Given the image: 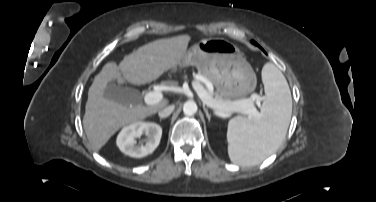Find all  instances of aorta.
Listing matches in <instances>:
<instances>
[{
	"mask_svg": "<svg viewBox=\"0 0 376 202\" xmlns=\"http://www.w3.org/2000/svg\"><path fill=\"white\" fill-rule=\"evenodd\" d=\"M197 110H198L197 104L192 100L185 102L183 105V112L187 116H192L196 114Z\"/></svg>",
	"mask_w": 376,
	"mask_h": 202,
	"instance_id": "762f6f07",
	"label": "aorta"
}]
</instances>
